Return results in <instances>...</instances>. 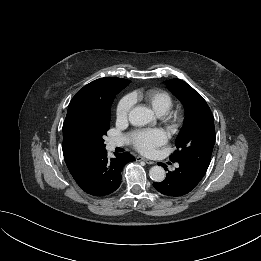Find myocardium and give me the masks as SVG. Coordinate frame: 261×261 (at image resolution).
<instances>
[{
	"label": "myocardium",
	"mask_w": 261,
	"mask_h": 261,
	"mask_svg": "<svg viewBox=\"0 0 261 261\" xmlns=\"http://www.w3.org/2000/svg\"><path fill=\"white\" fill-rule=\"evenodd\" d=\"M160 117L162 122L171 130H177L184 121V113L179 108H170Z\"/></svg>",
	"instance_id": "obj_1"
}]
</instances>
